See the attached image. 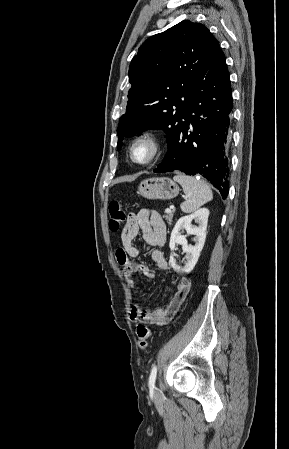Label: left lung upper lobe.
I'll return each instance as SVG.
<instances>
[{
    "label": "left lung upper lobe",
    "instance_id": "1",
    "mask_svg": "<svg viewBox=\"0 0 289 449\" xmlns=\"http://www.w3.org/2000/svg\"><path fill=\"white\" fill-rule=\"evenodd\" d=\"M218 50L210 31L188 20L145 41L129 68L132 86L117 128L118 150L124 136L147 129L164 130L169 145L196 81Z\"/></svg>",
    "mask_w": 289,
    "mask_h": 449
}]
</instances>
